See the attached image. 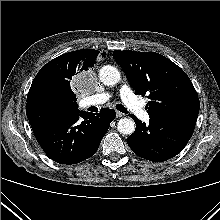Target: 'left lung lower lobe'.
Instances as JSON below:
<instances>
[{
	"mask_svg": "<svg viewBox=\"0 0 220 220\" xmlns=\"http://www.w3.org/2000/svg\"><path fill=\"white\" fill-rule=\"evenodd\" d=\"M197 116L177 113L150 118L149 125L132 115L136 123L127 138L129 147L140 157L162 162L176 156L191 138Z\"/></svg>",
	"mask_w": 220,
	"mask_h": 220,
	"instance_id": "obj_1",
	"label": "left lung lower lobe"
}]
</instances>
